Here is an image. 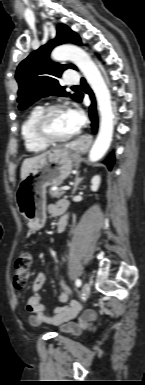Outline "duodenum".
Masks as SVG:
<instances>
[{
    "label": "duodenum",
    "instance_id": "410a0bca",
    "mask_svg": "<svg viewBox=\"0 0 145 385\" xmlns=\"http://www.w3.org/2000/svg\"><path fill=\"white\" fill-rule=\"evenodd\" d=\"M67 225H68V216L64 215L59 219L57 223V232L58 233L63 232L66 229Z\"/></svg>",
    "mask_w": 145,
    "mask_h": 385
}]
</instances>
